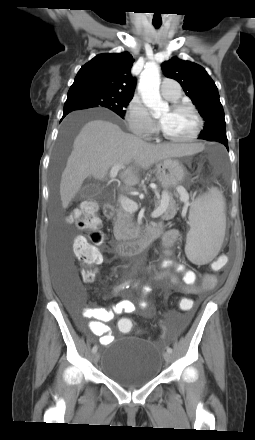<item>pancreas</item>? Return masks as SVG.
I'll return each mask as SVG.
<instances>
[{
  "label": "pancreas",
  "mask_w": 255,
  "mask_h": 440,
  "mask_svg": "<svg viewBox=\"0 0 255 440\" xmlns=\"http://www.w3.org/2000/svg\"><path fill=\"white\" fill-rule=\"evenodd\" d=\"M177 196V194H175ZM165 204V211L162 213L161 218L163 220L172 219L178 210L176 201L173 199V195L167 191H163L162 199L159 201L160 207ZM134 215L125 211L122 207H119L116 211V217L114 218V236L117 240L128 241L138 237L139 229L133 222Z\"/></svg>",
  "instance_id": "1"
}]
</instances>
